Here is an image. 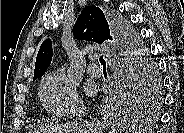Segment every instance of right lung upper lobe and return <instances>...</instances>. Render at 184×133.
Segmentation results:
<instances>
[{
  "mask_svg": "<svg viewBox=\"0 0 184 133\" xmlns=\"http://www.w3.org/2000/svg\"><path fill=\"white\" fill-rule=\"evenodd\" d=\"M75 39L92 41L102 44L107 40H114L117 44V38L113 32L109 17H106L103 11L96 6L85 7L73 27ZM52 60V42L46 39L37 54L34 78L42 77Z\"/></svg>",
  "mask_w": 184,
  "mask_h": 133,
  "instance_id": "1",
  "label": "right lung upper lobe"
}]
</instances>
